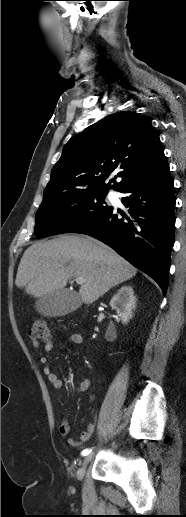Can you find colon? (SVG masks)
<instances>
[{
	"mask_svg": "<svg viewBox=\"0 0 186 517\" xmlns=\"http://www.w3.org/2000/svg\"><path fill=\"white\" fill-rule=\"evenodd\" d=\"M31 337L35 340L47 342L51 340V331L46 322L42 319H35L32 323Z\"/></svg>",
	"mask_w": 186,
	"mask_h": 517,
	"instance_id": "obj_1",
	"label": "colon"
}]
</instances>
